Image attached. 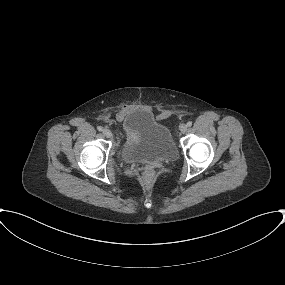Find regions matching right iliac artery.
I'll return each mask as SVG.
<instances>
[{"instance_id":"obj_1","label":"right iliac artery","mask_w":285,"mask_h":285,"mask_svg":"<svg viewBox=\"0 0 285 285\" xmlns=\"http://www.w3.org/2000/svg\"><path fill=\"white\" fill-rule=\"evenodd\" d=\"M97 129H98V131H102V130H103V127L98 126Z\"/></svg>"}]
</instances>
